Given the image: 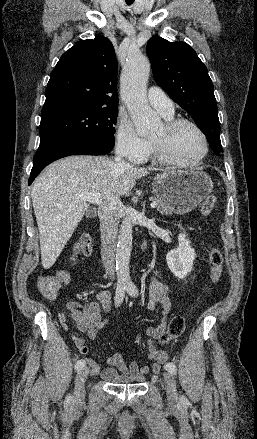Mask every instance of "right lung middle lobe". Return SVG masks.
Returning <instances> with one entry per match:
<instances>
[{"label":"right lung middle lobe","instance_id":"1","mask_svg":"<svg viewBox=\"0 0 257 439\" xmlns=\"http://www.w3.org/2000/svg\"><path fill=\"white\" fill-rule=\"evenodd\" d=\"M117 115V107H90L42 118L40 144L64 137H76L114 145Z\"/></svg>","mask_w":257,"mask_h":439}]
</instances>
